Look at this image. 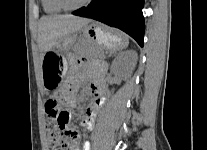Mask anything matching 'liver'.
<instances>
[{"label": "liver", "instance_id": "liver-1", "mask_svg": "<svg viewBox=\"0 0 207 150\" xmlns=\"http://www.w3.org/2000/svg\"><path fill=\"white\" fill-rule=\"evenodd\" d=\"M90 19L72 15L43 16L38 24V45L44 54L68 35L79 32Z\"/></svg>", "mask_w": 207, "mask_h": 150}]
</instances>
